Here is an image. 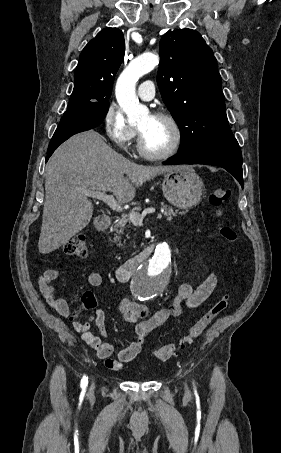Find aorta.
<instances>
[{"label": "aorta", "mask_w": 281, "mask_h": 453, "mask_svg": "<svg viewBox=\"0 0 281 453\" xmlns=\"http://www.w3.org/2000/svg\"><path fill=\"white\" fill-rule=\"evenodd\" d=\"M159 63L155 54H143L135 58L119 76L115 94L116 99L127 114L128 122L136 124L147 117L149 110L139 103L135 87L140 77L152 71ZM171 251L166 243L156 247L151 259L140 265L133 275L131 291L134 297L141 302L150 301L160 295L169 282Z\"/></svg>", "instance_id": "aorta-1"}]
</instances>
